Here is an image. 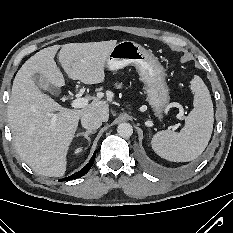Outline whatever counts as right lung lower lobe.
I'll return each instance as SVG.
<instances>
[{
	"label": "right lung lower lobe",
	"mask_w": 233,
	"mask_h": 233,
	"mask_svg": "<svg viewBox=\"0 0 233 233\" xmlns=\"http://www.w3.org/2000/svg\"><path fill=\"white\" fill-rule=\"evenodd\" d=\"M95 157H96V153L93 154L91 160L89 161V163L83 169L76 172L75 174H72L71 176H68V177L64 178L63 180L64 181L73 180V179H76V178H79V177H82L83 175H85L90 170V168L92 167V165L94 163V160H95Z\"/></svg>",
	"instance_id": "1"
}]
</instances>
